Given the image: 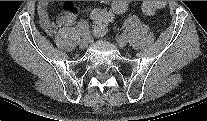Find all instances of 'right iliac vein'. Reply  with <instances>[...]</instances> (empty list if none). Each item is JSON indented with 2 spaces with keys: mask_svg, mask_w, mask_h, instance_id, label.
<instances>
[{
  "mask_svg": "<svg viewBox=\"0 0 207 121\" xmlns=\"http://www.w3.org/2000/svg\"><path fill=\"white\" fill-rule=\"evenodd\" d=\"M88 46V40L87 38H82L80 41H79V47L81 49H84Z\"/></svg>",
  "mask_w": 207,
  "mask_h": 121,
  "instance_id": "obj_1",
  "label": "right iliac vein"
}]
</instances>
